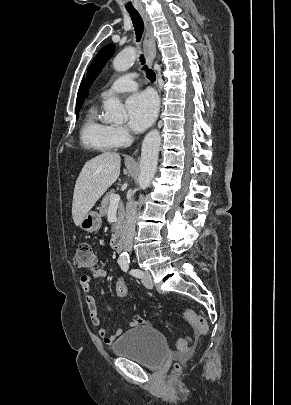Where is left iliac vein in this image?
<instances>
[{
    "instance_id": "left-iliac-vein-1",
    "label": "left iliac vein",
    "mask_w": 291,
    "mask_h": 405,
    "mask_svg": "<svg viewBox=\"0 0 291 405\" xmlns=\"http://www.w3.org/2000/svg\"><path fill=\"white\" fill-rule=\"evenodd\" d=\"M142 283L143 285L148 288V289H152L154 284H153V279L152 276L150 274V272L148 271H143V275H142Z\"/></svg>"
}]
</instances>
